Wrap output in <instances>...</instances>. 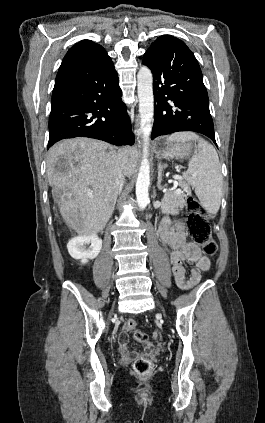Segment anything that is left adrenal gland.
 Returning a JSON list of instances; mask_svg holds the SVG:
<instances>
[{"instance_id":"obj_1","label":"left adrenal gland","mask_w":265,"mask_h":423,"mask_svg":"<svg viewBox=\"0 0 265 423\" xmlns=\"http://www.w3.org/2000/svg\"><path fill=\"white\" fill-rule=\"evenodd\" d=\"M165 166H166L165 164H164V165H162L161 163H160V164H159V166H158V179H159L158 185L160 184V181H161V174H162L163 168H164Z\"/></svg>"}]
</instances>
